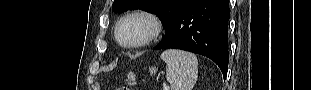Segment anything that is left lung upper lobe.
<instances>
[{
  "mask_svg": "<svg viewBox=\"0 0 311 90\" xmlns=\"http://www.w3.org/2000/svg\"><path fill=\"white\" fill-rule=\"evenodd\" d=\"M197 0H114L115 13L130 9H141L156 14L165 25V35L169 32L178 16Z\"/></svg>",
  "mask_w": 311,
  "mask_h": 90,
  "instance_id": "left-lung-upper-lobe-1",
  "label": "left lung upper lobe"
}]
</instances>
